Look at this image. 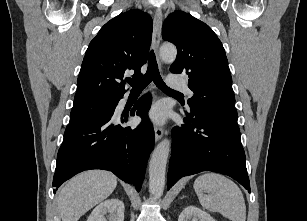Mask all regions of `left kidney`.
Masks as SVG:
<instances>
[{
  "label": "left kidney",
  "instance_id": "1",
  "mask_svg": "<svg viewBox=\"0 0 307 221\" xmlns=\"http://www.w3.org/2000/svg\"><path fill=\"white\" fill-rule=\"evenodd\" d=\"M178 221H216L210 214L195 207H186L179 215Z\"/></svg>",
  "mask_w": 307,
  "mask_h": 221
}]
</instances>
